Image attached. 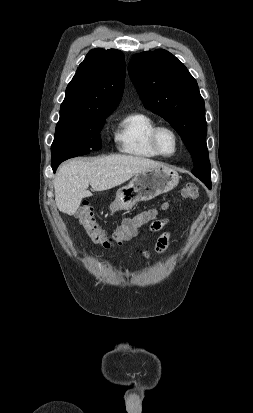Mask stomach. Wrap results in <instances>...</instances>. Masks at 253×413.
Here are the masks:
<instances>
[{
  "mask_svg": "<svg viewBox=\"0 0 253 413\" xmlns=\"http://www.w3.org/2000/svg\"><path fill=\"white\" fill-rule=\"evenodd\" d=\"M178 183V173L167 167L138 173L128 185L117 191L110 210H129L139 201H148L171 191Z\"/></svg>",
  "mask_w": 253,
  "mask_h": 413,
  "instance_id": "1",
  "label": "stomach"
}]
</instances>
